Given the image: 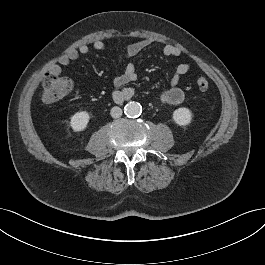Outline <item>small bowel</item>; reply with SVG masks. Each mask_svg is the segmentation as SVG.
Wrapping results in <instances>:
<instances>
[{"label": "small bowel", "mask_w": 265, "mask_h": 265, "mask_svg": "<svg viewBox=\"0 0 265 265\" xmlns=\"http://www.w3.org/2000/svg\"><path fill=\"white\" fill-rule=\"evenodd\" d=\"M153 44L151 39H143L134 42L127 46L124 56L126 59H131L141 53L144 49ZM93 49L97 51H104L106 49V44L102 40H95L92 43ZM90 51V47L87 44H81L77 48L70 49L66 54L60 57L56 64L50 67V73L54 75H60L64 67H67L71 62L80 58L81 55H86ZM162 53L167 57H176L181 54V50L175 45H166L163 47ZM191 69L189 63L179 64L170 79V86L160 94V99L162 102L169 105H180L184 99L185 94L183 90L178 86L180 78L187 74ZM137 79V69L134 63L130 62L125 66L122 74L114 79V85L117 87H122L130 82ZM134 95V89L131 87L123 88L115 93V98L117 100L127 99Z\"/></svg>", "instance_id": "1"}]
</instances>
